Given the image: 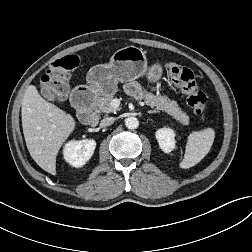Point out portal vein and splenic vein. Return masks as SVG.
<instances>
[{
	"label": "portal vein and splenic vein",
	"mask_w": 252,
	"mask_h": 252,
	"mask_svg": "<svg viewBox=\"0 0 252 252\" xmlns=\"http://www.w3.org/2000/svg\"><path fill=\"white\" fill-rule=\"evenodd\" d=\"M118 100H113V105L117 106Z\"/></svg>",
	"instance_id": "portal-vein-and-splenic-vein-1"
}]
</instances>
